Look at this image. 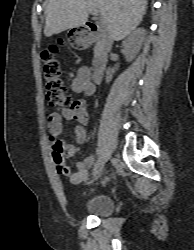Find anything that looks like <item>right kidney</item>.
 Masks as SVG:
<instances>
[{
	"label": "right kidney",
	"mask_w": 194,
	"mask_h": 250,
	"mask_svg": "<svg viewBox=\"0 0 194 250\" xmlns=\"http://www.w3.org/2000/svg\"><path fill=\"white\" fill-rule=\"evenodd\" d=\"M145 30L137 29L133 31L122 43L124 48L123 53L128 62H131L139 52L143 40H144ZM114 69L108 68L106 72V82H110L113 78Z\"/></svg>",
	"instance_id": "ca27d5eb"
}]
</instances>
